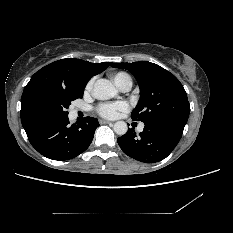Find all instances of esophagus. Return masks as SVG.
Listing matches in <instances>:
<instances>
[{
  "label": "esophagus",
  "instance_id": "34e87169",
  "mask_svg": "<svg viewBox=\"0 0 233 233\" xmlns=\"http://www.w3.org/2000/svg\"><path fill=\"white\" fill-rule=\"evenodd\" d=\"M100 124H113V123L107 120H100Z\"/></svg>",
  "mask_w": 233,
  "mask_h": 233
}]
</instances>
